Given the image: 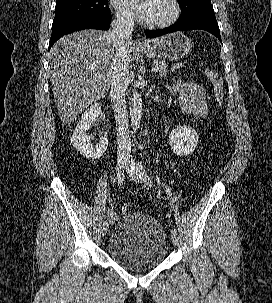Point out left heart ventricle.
I'll return each instance as SVG.
<instances>
[{"mask_svg":"<svg viewBox=\"0 0 272 303\" xmlns=\"http://www.w3.org/2000/svg\"><path fill=\"white\" fill-rule=\"evenodd\" d=\"M171 11L169 0H153L151 14L147 21H162L170 16Z\"/></svg>","mask_w":272,"mask_h":303,"instance_id":"b2bd125f","label":"left heart ventricle"}]
</instances>
